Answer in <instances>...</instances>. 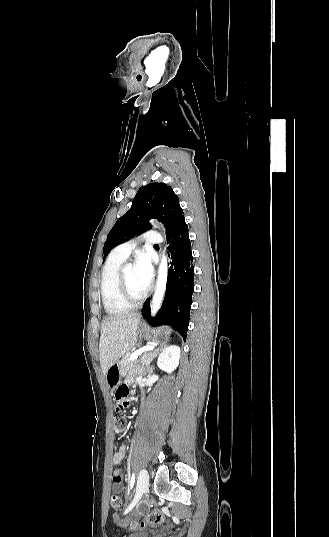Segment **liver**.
I'll return each mask as SVG.
<instances>
[{"label": "liver", "mask_w": 329, "mask_h": 537, "mask_svg": "<svg viewBox=\"0 0 329 537\" xmlns=\"http://www.w3.org/2000/svg\"><path fill=\"white\" fill-rule=\"evenodd\" d=\"M139 322L140 315L136 314L111 316L102 321L99 359L104 375L135 346Z\"/></svg>", "instance_id": "1"}]
</instances>
